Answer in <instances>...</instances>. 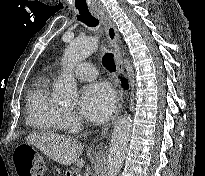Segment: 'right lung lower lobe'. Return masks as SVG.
Masks as SVG:
<instances>
[{
	"mask_svg": "<svg viewBox=\"0 0 205 176\" xmlns=\"http://www.w3.org/2000/svg\"><path fill=\"white\" fill-rule=\"evenodd\" d=\"M123 86H124L125 88H128V87H127V84H126V82H125V80H124V85H123Z\"/></svg>",
	"mask_w": 205,
	"mask_h": 176,
	"instance_id": "1",
	"label": "right lung lower lobe"
}]
</instances>
